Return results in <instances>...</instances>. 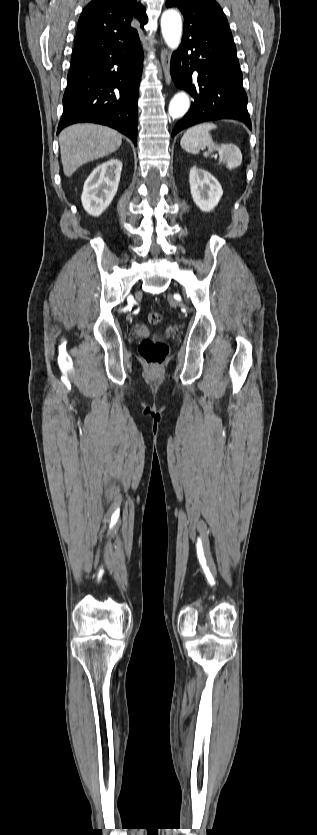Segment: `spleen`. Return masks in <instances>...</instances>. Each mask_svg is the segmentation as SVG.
I'll return each mask as SVG.
<instances>
[{
  "instance_id": "1",
  "label": "spleen",
  "mask_w": 317,
  "mask_h": 835,
  "mask_svg": "<svg viewBox=\"0 0 317 835\" xmlns=\"http://www.w3.org/2000/svg\"><path fill=\"white\" fill-rule=\"evenodd\" d=\"M216 128L217 126L214 123L197 124L183 134L180 145L183 150L191 154H198L201 148L207 147L208 150L203 154L205 157L217 151L219 162L228 170L235 169L242 162L241 151L233 143L218 144L214 142L210 131Z\"/></svg>"
}]
</instances>
